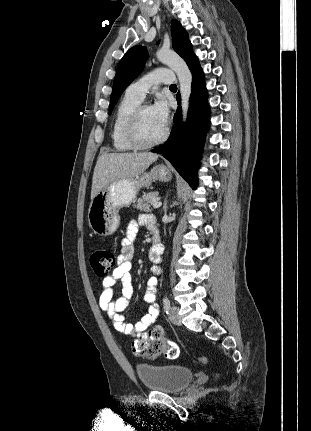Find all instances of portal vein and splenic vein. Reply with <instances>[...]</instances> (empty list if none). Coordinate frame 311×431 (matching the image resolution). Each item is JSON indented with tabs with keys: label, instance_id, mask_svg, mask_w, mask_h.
Listing matches in <instances>:
<instances>
[{
	"label": "portal vein and splenic vein",
	"instance_id": "1",
	"mask_svg": "<svg viewBox=\"0 0 311 431\" xmlns=\"http://www.w3.org/2000/svg\"><path fill=\"white\" fill-rule=\"evenodd\" d=\"M162 202H152V208H161Z\"/></svg>",
	"mask_w": 311,
	"mask_h": 431
}]
</instances>
